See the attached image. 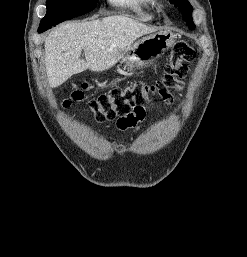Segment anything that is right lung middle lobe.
Masks as SVG:
<instances>
[{
    "label": "right lung middle lobe",
    "instance_id": "1",
    "mask_svg": "<svg viewBox=\"0 0 247 257\" xmlns=\"http://www.w3.org/2000/svg\"><path fill=\"white\" fill-rule=\"evenodd\" d=\"M97 0H47V13L40 25L54 26L92 11Z\"/></svg>",
    "mask_w": 247,
    "mask_h": 257
}]
</instances>
